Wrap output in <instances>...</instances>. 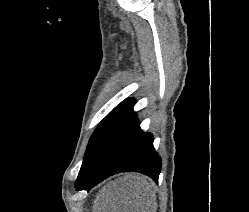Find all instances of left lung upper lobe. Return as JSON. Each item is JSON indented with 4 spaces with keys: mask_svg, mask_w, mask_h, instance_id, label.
Listing matches in <instances>:
<instances>
[{
    "mask_svg": "<svg viewBox=\"0 0 249 212\" xmlns=\"http://www.w3.org/2000/svg\"><path fill=\"white\" fill-rule=\"evenodd\" d=\"M134 105L133 99H127L121 102L116 108H114L98 125L95 132L92 134L89 143L86 148L85 157L83 160V164L81 166L79 175L82 173L84 168L86 167L88 161L93 155L96 147L98 146L101 139L107 133V131L113 126V124L123 116L131 107ZM78 175V176H79Z\"/></svg>",
    "mask_w": 249,
    "mask_h": 212,
    "instance_id": "5c2ea615",
    "label": "left lung upper lobe"
}]
</instances>
